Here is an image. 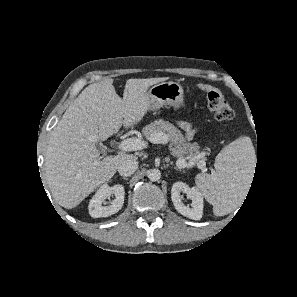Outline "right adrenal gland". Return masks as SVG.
<instances>
[{"instance_id": "2a0ac1e0", "label": "right adrenal gland", "mask_w": 297, "mask_h": 297, "mask_svg": "<svg viewBox=\"0 0 297 297\" xmlns=\"http://www.w3.org/2000/svg\"><path fill=\"white\" fill-rule=\"evenodd\" d=\"M122 179H124V180H128V178H127V177H125V176H123V177H122Z\"/></svg>"}]
</instances>
